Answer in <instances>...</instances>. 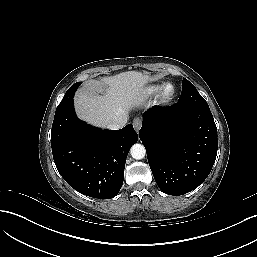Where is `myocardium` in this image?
Here are the masks:
<instances>
[{
    "label": "myocardium",
    "instance_id": "1",
    "mask_svg": "<svg viewBox=\"0 0 257 257\" xmlns=\"http://www.w3.org/2000/svg\"><path fill=\"white\" fill-rule=\"evenodd\" d=\"M175 94V86L172 84H166L162 87L158 95V102L162 105L169 104L174 99Z\"/></svg>",
    "mask_w": 257,
    "mask_h": 257
}]
</instances>
